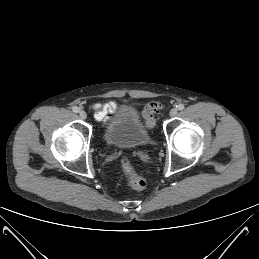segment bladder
Instances as JSON below:
<instances>
[{"instance_id": "bladder-1", "label": "bladder", "mask_w": 259, "mask_h": 259, "mask_svg": "<svg viewBox=\"0 0 259 259\" xmlns=\"http://www.w3.org/2000/svg\"><path fill=\"white\" fill-rule=\"evenodd\" d=\"M104 139L109 145L128 149L143 147L151 142L138 111L128 105L121 106L111 115L104 129Z\"/></svg>"}]
</instances>
